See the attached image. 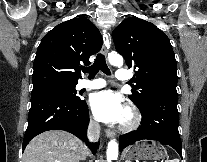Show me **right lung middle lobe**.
<instances>
[{
    "mask_svg": "<svg viewBox=\"0 0 207 162\" xmlns=\"http://www.w3.org/2000/svg\"><path fill=\"white\" fill-rule=\"evenodd\" d=\"M75 86L76 84H51L35 87L32 90L31 96L45 93H58L71 100L78 101L80 97L76 95Z\"/></svg>",
    "mask_w": 207,
    "mask_h": 162,
    "instance_id": "right-lung-middle-lobe-1",
    "label": "right lung middle lobe"
}]
</instances>
